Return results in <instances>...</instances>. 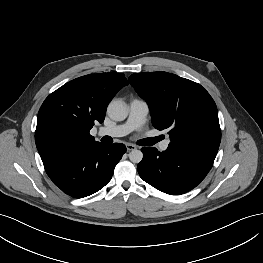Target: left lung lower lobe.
Masks as SVG:
<instances>
[{
	"mask_svg": "<svg viewBox=\"0 0 263 263\" xmlns=\"http://www.w3.org/2000/svg\"><path fill=\"white\" fill-rule=\"evenodd\" d=\"M141 150L144 156L137 166L140 177L170 195H180L195 188L213 166L217 154V151L171 144L162 153L153 147Z\"/></svg>",
	"mask_w": 263,
	"mask_h": 263,
	"instance_id": "left-lung-lower-lobe-1",
	"label": "left lung lower lobe"
}]
</instances>
